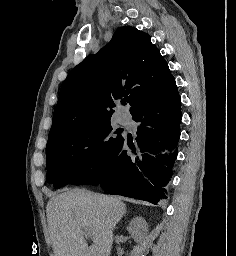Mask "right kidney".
Masks as SVG:
<instances>
[{
  "mask_svg": "<svg viewBox=\"0 0 236 256\" xmlns=\"http://www.w3.org/2000/svg\"><path fill=\"white\" fill-rule=\"evenodd\" d=\"M127 230L129 234H132V238H134L135 242H139V244H147L148 224H146L144 218H141V216L133 218Z\"/></svg>",
  "mask_w": 236,
  "mask_h": 256,
  "instance_id": "1",
  "label": "right kidney"
}]
</instances>
